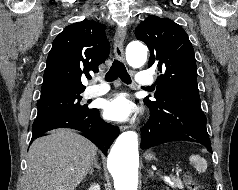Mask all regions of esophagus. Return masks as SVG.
<instances>
[{
	"mask_svg": "<svg viewBox=\"0 0 238 190\" xmlns=\"http://www.w3.org/2000/svg\"><path fill=\"white\" fill-rule=\"evenodd\" d=\"M126 37V29L124 27H118L114 37V55L119 61H124V40ZM128 129V126H120V130L124 131Z\"/></svg>",
	"mask_w": 238,
	"mask_h": 190,
	"instance_id": "1",
	"label": "esophagus"
}]
</instances>
